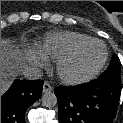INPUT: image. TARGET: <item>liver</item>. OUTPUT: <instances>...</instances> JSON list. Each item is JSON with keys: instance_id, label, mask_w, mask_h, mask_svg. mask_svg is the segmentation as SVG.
I'll use <instances>...</instances> for the list:
<instances>
[{"instance_id": "liver-1", "label": "liver", "mask_w": 123, "mask_h": 123, "mask_svg": "<svg viewBox=\"0 0 123 123\" xmlns=\"http://www.w3.org/2000/svg\"><path fill=\"white\" fill-rule=\"evenodd\" d=\"M22 51L15 44L1 39V95L22 71Z\"/></svg>"}]
</instances>
